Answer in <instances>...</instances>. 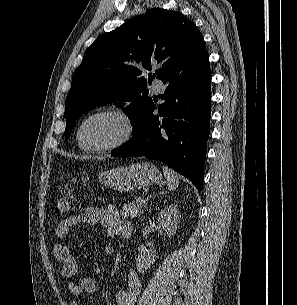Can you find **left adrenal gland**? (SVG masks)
Here are the masks:
<instances>
[{"mask_svg": "<svg viewBox=\"0 0 297 305\" xmlns=\"http://www.w3.org/2000/svg\"><path fill=\"white\" fill-rule=\"evenodd\" d=\"M151 197H152V196H150L149 198H151ZM149 198H147V200H146V205H147V202H148ZM146 205H145V207H146Z\"/></svg>", "mask_w": 297, "mask_h": 305, "instance_id": "obj_1", "label": "left adrenal gland"}]
</instances>
